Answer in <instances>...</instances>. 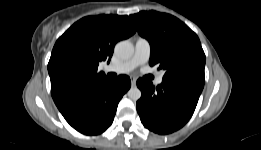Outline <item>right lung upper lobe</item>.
<instances>
[{
    "label": "right lung upper lobe",
    "instance_id": "right-lung-upper-lobe-1",
    "mask_svg": "<svg viewBox=\"0 0 261 150\" xmlns=\"http://www.w3.org/2000/svg\"><path fill=\"white\" fill-rule=\"evenodd\" d=\"M135 32L128 16H88L74 23L56 41L48 63L55 104L106 81L97 72L99 62L109 61L115 44Z\"/></svg>",
    "mask_w": 261,
    "mask_h": 150
}]
</instances>
